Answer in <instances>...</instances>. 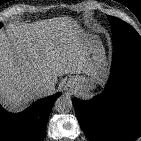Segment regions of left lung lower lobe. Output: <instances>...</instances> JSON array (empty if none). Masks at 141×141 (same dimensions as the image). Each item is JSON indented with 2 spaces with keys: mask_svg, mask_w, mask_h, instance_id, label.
Segmentation results:
<instances>
[{
  "mask_svg": "<svg viewBox=\"0 0 141 141\" xmlns=\"http://www.w3.org/2000/svg\"><path fill=\"white\" fill-rule=\"evenodd\" d=\"M113 46L105 93L90 101L72 100L90 141H134L141 136V40L114 38Z\"/></svg>",
  "mask_w": 141,
  "mask_h": 141,
  "instance_id": "0a47b994",
  "label": "left lung lower lobe"
}]
</instances>
